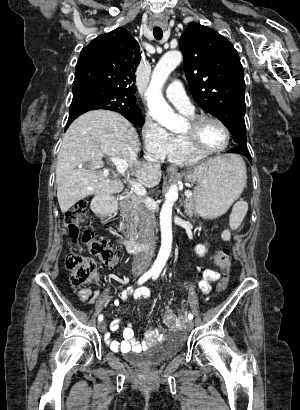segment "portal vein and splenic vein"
<instances>
[{"label": "portal vein and splenic vein", "mask_w": 300, "mask_h": 410, "mask_svg": "<svg viewBox=\"0 0 300 410\" xmlns=\"http://www.w3.org/2000/svg\"><path fill=\"white\" fill-rule=\"evenodd\" d=\"M110 160L114 163V165L116 166L117 171L122 174L125 175V171L128 168V164L121 159H117V158H110ZM129 184L131 185L133 191L138 195V196H145L147 194L146 189L139 183L134 182L129 180ZM193 193L190 190H186L185 191V196L190 198L192 197Z\"/></svg>", "instance_id": "obj_1"}]
</instances>
